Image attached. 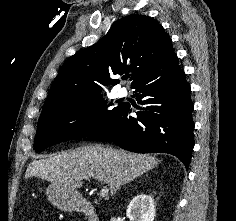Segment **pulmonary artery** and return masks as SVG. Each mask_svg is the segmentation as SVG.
I'll list each match as a JSON object with an SVG mask.
<instances>
[{
	"label": "pulmonary artery",
	"instance_id": "e3ab8cb5",
	"mask_svg": "<svg viewBox=\"0 0 236 221\" xmlns=\"http://www.w3.org/2000/svg\"><path fill=\"white\" fill-rule=\"evenodd\" d=\"M118 95L120 97H125V96L128 95V90L125 87H122V88L119 89Z\"/></svg>",
	"mask_w": 236,
	"mask_h": 221
}]
</instances>
